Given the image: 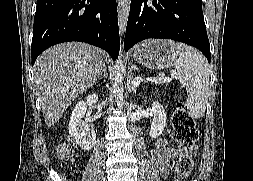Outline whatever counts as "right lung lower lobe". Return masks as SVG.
Returning <instances> with one entry per match:
<instances>
[{"instance_id":"obj_1","label":"right lung lower lobe","mask_w":253,"mask_h":181,"mask_svg":"<svg viewBox=\"0 0 253 181\" xmlns=\"http://www.w3.org/2000/svg\"><path fill=\"white\" fill-rule=\"evenodd\" d=\"M80 41L119 51L116 0H37L32 38V66L52 45Z\"/></svg>"}]
</instances>
